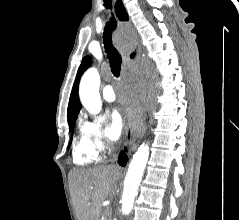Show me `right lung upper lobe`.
<instances>
[{
  "instance_id": "1",
  "label": "right lung upper lobe",
  "mask_w": 239,
  "mask_h": 220,
  "mask_svg": "<svg viewBox=\"0 0 239 220\" xmlns=\"http://www.w3.org/2000/svg\"><path fill=\"white\" fill-rule=\"evenodd\" d=\"M91 66V60L89 57H84L81 65L79 66L77 76L71 91L70 99H69V105H68V110H67V118L68 122L77 119L78 113L81 109V104L79 101V96H78V88H79V81L84 73V71Z\"/></svg>"
}]
</instances>
